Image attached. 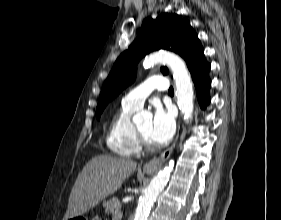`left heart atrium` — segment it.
<instances>
[{"instance_id": "39dd6f15", "label": "left heart atrium", "mask_w": 281, "mask_h": 220, "mask_svg": "<svg viewBox=\"0 0 281 220\" xmlns=\"http://www.w3.org/2000/svg\"><path fill=\"white\" fill-rule=\"evenodd\" d=\"M176 124L173 114L163 108L155 111L149 137L156 144H165L171 140L175 133Z\"/></svg>"}]
</instances>
